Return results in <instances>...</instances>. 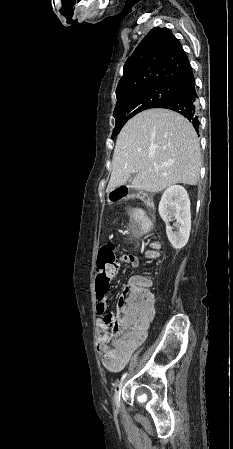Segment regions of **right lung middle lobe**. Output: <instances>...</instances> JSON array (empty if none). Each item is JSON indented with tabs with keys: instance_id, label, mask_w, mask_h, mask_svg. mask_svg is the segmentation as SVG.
Instances as JSON below:
<instances>
[{
	"instance_id": "obj_1",
	"label": "right lung middle lobe",
	"mask_w": 233,
	"mask_h": 449,
	"mask_svg": "<svg viewBox=\"0 0 233 449\" xmlns=\"http://www.w3.org/2000/svg\"><path fill=\"white\" fill-rule=\"evenodd\" d=\"M177 95L178 92L173 86L154 85L117 98V105L114 109L116 124L112 138L137 113L146 109L156 108L162 102L172 99Z\"/></svg>"
}]
</instances>
